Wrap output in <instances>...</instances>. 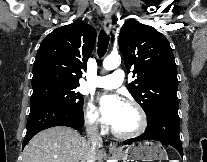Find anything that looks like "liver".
I'll use <instances>...</instances> for the list:
<instances>
[{
  "mask_svg": "<svg viewBox=\"0 0 207 162\" xmlns=\"http://www.w3.org/2000/svg\"><path fill=\"white\" fill-rule=\"evenodd\" d=\"M90 150L89 142L76 130L55 126L37 133L25 146L23 162H85ZM104 153L97 151L96 160Z\"/></svg>",
  "mask_w": 207,
  "mask_h": 162,
  "instance_id": "6515ba94",
  "label": "liver"
}]
</instances>
